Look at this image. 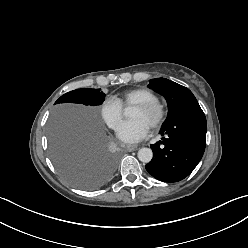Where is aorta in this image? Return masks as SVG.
I'll use <instances>...</instances> for the list:
<instances>
[{"label":"aorta","instance_id":"obj_1","mask_svg":"<svg viewBox=\"0 0 248 248\" xmlns=\"http://www.w3.org/2000/svg\"><path fill=\"white\" fill-rule=\"evenodd\" d=\"M138 159L143 163H149L152 160L153 152L150 148H141L138 151Z\"/></svg>","mask_w":248,"mask_h":248}]
</instances>
